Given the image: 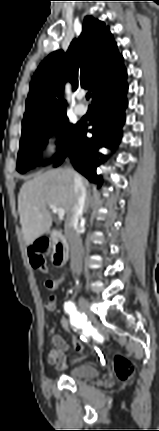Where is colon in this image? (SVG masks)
Segmentation results:
<instances>
[{
  "label": "colon",
  "instance_id": "colon-1",
  "mask_svg": "<svg viewBox=\"0 0 159 431\" xmlns=\"http://www.w3.org/2000/svg\"><path fill=\"white\" fill-rule=\"evenodd\" d=\"M47 253L46 246L43 242H37L32 248L30 249V261L32 266L35 269L39 270H45V259L44 256ZM53 300H50L47 302V309L49 313L55 312V304L52 302ZM59 326L61 327V330L65 334H70L72 332L71 327V320L68 318V315L66 313H61L59 315ZM72 345L74 346V350L77 351L78 355L84 354L83 349V341L80 338H77V335H72ZM134 364L127 359L126 357L122 355H118L114 359V371L117 375V377L121 380H128L130 379L134 374Z\"/></svg>",
  "mask_w": 159,
  "mask_h": 431
}]
</instances>
